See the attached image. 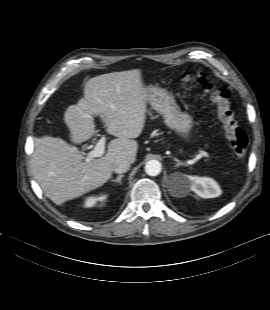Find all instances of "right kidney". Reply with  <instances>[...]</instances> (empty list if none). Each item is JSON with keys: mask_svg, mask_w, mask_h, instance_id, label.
<instances>
[{"mask_svg": "<svg viewBox=\"0 0 270 310\" xmlns=\"http://www.w3.org/2000/svg\"><path fill=\"white\" fill-rule=\"evenodd\" d=\"M107 195L105 194H102V195H99V196H90V197H87L85 199V206L86 207H93L98 201H104L106 199Z\"/></svg>", "mask_w": 270, "mask_h": 310, "instance_id": "ca27d5eb", "label": "right kidney"}]
</instances>
